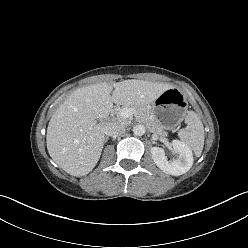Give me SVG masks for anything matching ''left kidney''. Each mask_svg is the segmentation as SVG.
I'll return each instance as SVG.
<instances>
[{
    "label": "left kidney",
    "instance_id": "1",
    "mask_svg": "<svg viewBox=\"0 0 248 248\" xmlns=\"http://www.w3.org/2000/svg\"><path fill=\"white\" fill-rule=\"evenodd\" d=\"M172 146L176 158L168 160L164 149L159 147H152L151 155L155 164L163 172L173 176H179L189 171L192 167L193 154L190 147L179 140H173Z\"/></svg>",
    "mask_w": 248,
    "mask_h": 248
}]
</instances>
